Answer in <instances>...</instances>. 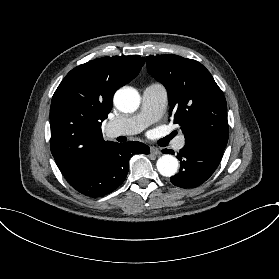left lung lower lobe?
Segmentation results:
<instances>
[{"label":"left lung lower lobe","mask_w":279,"mask_h":279,"mask_svg":"<svg viewBox=\"0 0 279 279\" xmlns=\"http://www.w3.org/2000/svg\"><path fill=\"white\" fill-rule=\"evenodd\" d=\"M164 153H172L163 150ZM223 150L204 144H185L179 151V173L171 177V183L182 188H194L204 183L216 170Z\"/></svg>","instance_id":"1"}]
</instances>
